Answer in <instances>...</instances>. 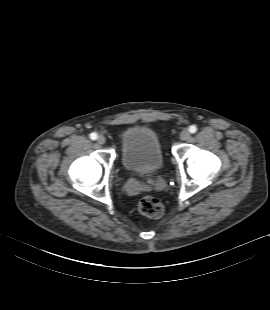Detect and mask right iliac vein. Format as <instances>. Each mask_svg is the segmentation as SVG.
<instances>
[{
  "label": "right iliac vein",
  "mask_w": 270,
  "mask_h": 310,
  "mask_svg": "<svg viewBox=\"0 0 270 310\" xmlns=\"http://www.w3.org/2000/svg\"><path fill=\"white\" fill-rule=\"evenodd\" d=\"M99 144H104L106 142V138L104 136H99L97 139Z\"/></svg>",
  "instance_id": "63e3f726"
}]
</instances>
